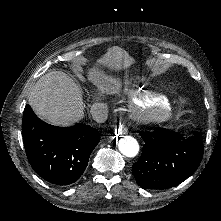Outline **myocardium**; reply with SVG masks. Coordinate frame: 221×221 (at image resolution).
I'll return each instance as SVG.
<instances>
[{"label":"myocardium","instance_id":"obj_1","mask_svg":"<svg viewBox=\"0 0 221 221\" xmlns=\"http://www.w3.org/2000/svg\"><path fill=\"white\" fill-rule=\"evenodd\" d=\"M147 118L153 124H162L168 118V109L162 103H153L147 109Z\"/></svg>","mask_w":221,"mask_h":221}]
</instances>
